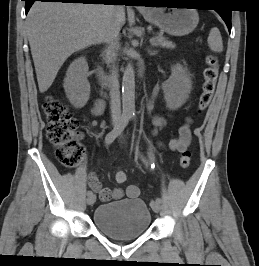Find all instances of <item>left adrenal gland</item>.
<instances>
[{
	"instance_id": "1",
	"label": "left adrenal gland",
	"mask_w": 259,
	"mask_h": 266,
	"mask_svg": "<svg viewBox=\"0 0 259 266\" xmlns=\"http://www.w3.org/2000/svg\"><path fill=\"white\" fill-rule=\"evenodd\" d=\"M148 52L150 55H156L157 54V51L148 50Z\"/></svg>"
}]
</instances>
